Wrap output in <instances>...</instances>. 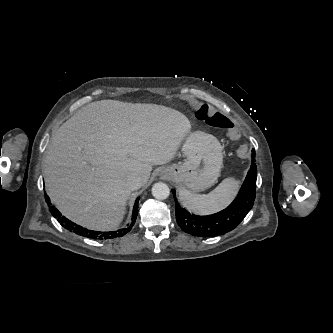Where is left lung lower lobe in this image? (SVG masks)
I'll use <instances>...</instances> for the list:
<instances>
[{
	"label": "left lung lower lobe",
	"instance_id": "0a47b994",
	"mask_svg": "<svg viewBox=\"0 0 333 333\" xmlns=\"http://www.w3.org/2000/svg\"><path fill=\"white\" fill-rule=\"evenodd\" d=\"M255 150L252 149V163L246 179L234 201L224 210L208 216L190 214L182 208L175 198L176 221L186 233L198 237L223 235L236 228L251 210L255 200L257 166L255 164Z\"/></svg>",
	"mask_w": 333,
	"mask_h": 333
}]
</instances>
